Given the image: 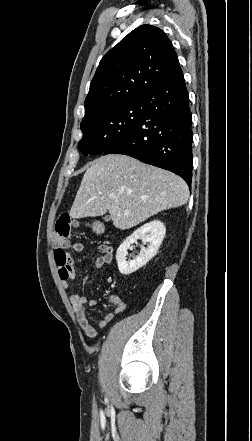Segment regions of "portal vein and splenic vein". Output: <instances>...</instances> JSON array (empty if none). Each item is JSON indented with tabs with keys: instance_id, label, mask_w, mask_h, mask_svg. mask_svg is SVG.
<instances>
[{
	"instance_id": "18ae733b",
	"label": "portal vein and splenic vein",
	"mask_w": 252,
	"mask_h": 441,
	"mask_svg": "<svg viewBox=\"0 0 252 441\" xmlns=\"http://www.w3.org/2000/svg\"><path fill=\"white\" fill-rule=\"evenodd\" d=\"M111 197H112V198H115V196H114V195H111Z\"/></svg>"
}]
</instances>
